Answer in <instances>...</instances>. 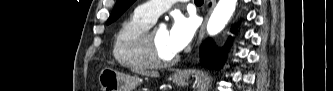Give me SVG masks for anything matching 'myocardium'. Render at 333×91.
Here are the masks:
<instances>
[{
  "label": "myocardium",
  "instance_id": "myocardium-1",
  "mask_svg": "<svg viewBox=\"0 0 333 91\" xmlns=\"http://www.w3.org/2000/svg\"><path fill=\"white\" fill-rule=\"evenodd\" d=\"M155 29L156 27L149 28L148 30H146V32L143 35V46L146 59L149 62V64L153 67L171 66L174 63H176V61L178 60V55L175 54L174 56L168 59L162 58L160 56L153 38Z\"/></svg>",
  "mask_w": 333,
  "mask_h": 91
}]
</instances>
